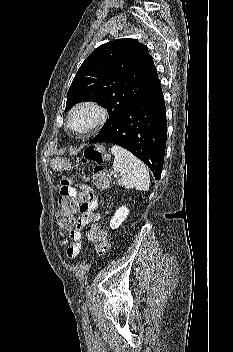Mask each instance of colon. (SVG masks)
<instances>
[{"label": "colon", "instance_id": "1", "mask_svg": "<svg viewBox=\"0 0 233 352\" xmlns=\"http://www.w3.org/2000/svg\"><path fill=\"white\" fill-rule=\"evenodd\" d=\"M109 159L104 147L100 145L88 146L81 157V163L94 165L93 181L98 188L105 189L110 183V175L105 167L106 161ZM90 200V195L83 192L76 201L68 196L60 199V209L56 214L55 220L60 231H72L76 220L74 213L77 204L85 206ZM87 237L90 242L95 245L96 251L99 254H104L109 250L110 244L107 239V231L103 224L95 223L88 227Z\"/></svg>", "mask_w": 233, "mask_h": 352}]
</instances>
